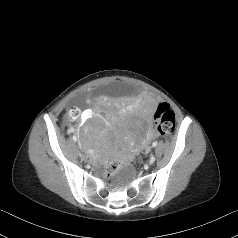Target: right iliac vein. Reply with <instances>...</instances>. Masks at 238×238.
Segmentation results:
<instances>
[{"mask_svg": "<svg viewBox=\"0 0 238 238\" xmlns=\"http://www.w3.org/2000/svg\"><path fill=\"white\" fill-rule=\"evenodd\" d=\"M78 155H79V158H82L83 157V154L81 151H78Z\"/></svg>", "mask_w": 238, "mask_h": 238, "instance_id": "right-iliac-vein-1", "label": "right iliac vein"}]
</instances>
